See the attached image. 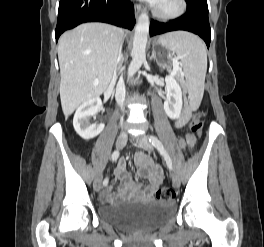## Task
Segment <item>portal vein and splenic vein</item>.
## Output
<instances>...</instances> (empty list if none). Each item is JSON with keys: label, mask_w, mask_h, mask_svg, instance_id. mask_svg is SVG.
Wrapping results in <instances>:
<instances>
[{"label": "portal vein and splenic vein", "mask_w": 264, "mask_h": 247, "mask_svg": "<svg viewBox=\"0 0 264 247\" xmlns=\"http://www.w3.org/2000/svg\"><path fill=\"white\" fill-rule=\"evenodd\" d=\"M178 70H179V63H178L177 60H173V71H172V74H176Z\"/></svg>", "instance_id": "18ae733b"}]
</instances>
